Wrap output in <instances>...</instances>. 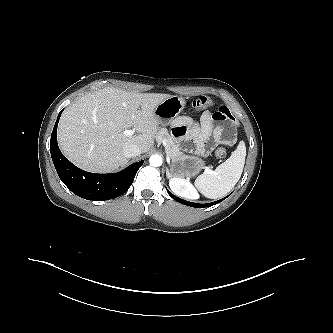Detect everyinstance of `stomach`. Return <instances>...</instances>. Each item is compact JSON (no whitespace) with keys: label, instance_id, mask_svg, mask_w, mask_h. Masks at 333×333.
Instances as JSON below:
<instances>
[{"label":"stomach","instance_id":"stomach-1","mask_svg":"<svg viewBox=\"0 0 333 333\" xmlns=\"http://www.w3.org/2000/svg\"><path fill=\"white\" fill-rule=\"evenodd\" d=\"M185 104V99L176 95L164 99L154 110L159 124L172 123ZM202 164L201 158L182 153L180 158L171 161V171L175 176H193L198 173Z\"/></svg>","mask_w":333,"mask_h":333}]
</instances>
